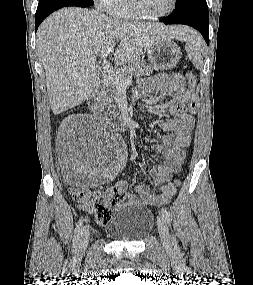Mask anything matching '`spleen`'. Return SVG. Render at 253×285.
Here are the masks:
<instances>
[{
  "instance_id": "3e777b00",
  "label": "spleen",
  "mask_w": 253,
  "mask_h": 285,
  "mask_svg": "<svg viewBox=\"0 0 253 285\" xmlns=\"http://www.w3.org/2000/svg\"><path fill=\"white\" fill-rule=\"evenodd\" d=\"M185 50L189 59L192 61L196 69L201 70L203 68V58L201 56V50L204 48L202 38L192 31L186 38Z\"/></svg>"
}]
</instances>
